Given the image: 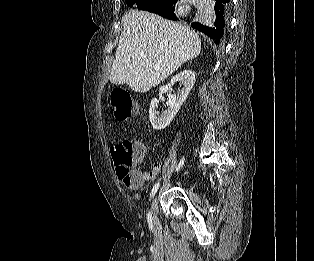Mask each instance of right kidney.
Segmentation results:
<instances>
[{
    "mask_svg": "<svg viewBox=\"0 0 314 261\" xmlns=\"http://www.w3.org/2000/svg\"><path fill=\"white\" fill-rule=\"evenodd\" d=\"M195 73L191 70H184L178 75L171 79V82L167 85L160 87L159 94L170 92L167 101V109L161 115H157L156 107L158 106L159 100L154 98L151 101L149 109V120L153 129L162 130L166 128L170 122L173 120L177 112L179 111L181 105L186 100L189 95L194 83H195ZM175 82H180L183 88L176 94H172V85Z\"/></svg>",
    "mask_w": 314,
    "mask_h": 261,
    "instance_id": "right-kidney-1",
    "label": "right kidney"
}]
</instances>
